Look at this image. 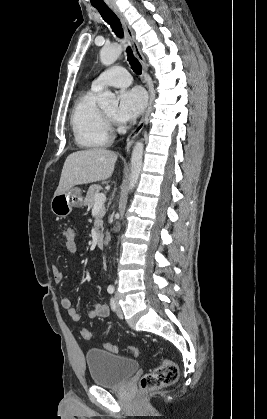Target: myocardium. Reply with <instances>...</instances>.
I'll return each mask as SVG.
<instances>
[{
  "mask_svg": "<svg viewBox=\"0 0 267 419\" xmlns=\"http://www.w3.org/2000/svg\"><path fill=\"white\" fill-rule=\"evenodd\" d=\"M103 115L108 124L113 122V117L109 116L106 112H103Z\"/></svg>",
  "mask_w": 267,
  "mask_h": 419,
  "instance_id": "1",
  "label": "myocardium"
}]
</instances>
